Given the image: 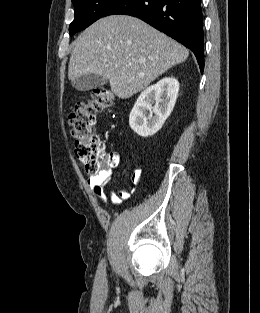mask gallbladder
Segmentation results:
<instances>
[{
    "instance_id": "1",
    "label": "gallbladder",
    "mask_w": 260,
    "mask_h": 313,
    "mask_svg": "<svg viewBox=\"0 0 260 313\" xmlns=\"http://www.w3.org/2000/svg\"><path fill=\"white\" fill-rule=\"evenodd\" d=\"M107 83L108 80L99 74H87L73 80L72 86L78 91H87Z\"/></svg>"
}]
</instances>
